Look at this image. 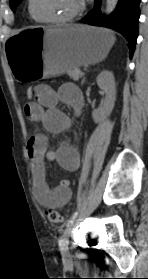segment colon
I'll list each match as a JSON object with an SVG mask.
<instances>
[{
	"instance_id": "colon-1",
	"label": "colon",
	"mask_w": 148,
	"mask_h": 279,
	"mask_svg": "<svg viewBox=\"0 0 148 279\" xmlns=\"http://www.w3.org/2000/svg\"><path fill=\"white\" fill-rule=\"evenodd\" d=\"M26 98L29 101H32L35 99L36 97V88L33 86H30L26 89ZM46 217L48 218V220L52 223H62L65 220V217L57 210L53 209V208H48L45 211Z\"/></svg>"
}]
</instances>
